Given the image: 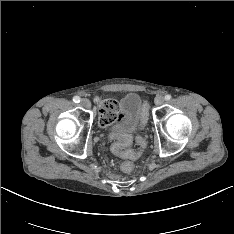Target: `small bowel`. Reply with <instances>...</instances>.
I'll return each mask as SVG.
<instances>
[{
	"label": "small bowel",
	"instance_id": "1",
	"mask_svg": "<svg viewBox=\"0 0 234 234\" xmlns=\"http://www.w3.org/2000/svg\"><path fill=\"white\" fill-rule=\"evenodd\" d=\"M136 102L137 99H133V101H130V103L128 104L127 110H130V107L133 105V110H131V113H134V111H136ZM133 114H130L129 119H132Z\"/></svg>",
	"mask_w": 234,
	"mask_h": 234
}]
</instances>
